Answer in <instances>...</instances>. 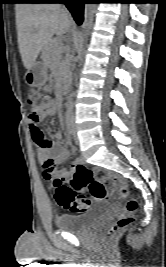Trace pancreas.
<instances>
[{
    "label": "pancreas",
    "mask_w": 166,
    "mask_h": 267,
    "mask_svg": "<svg viewBox=\"0 0 166 267\" xmlns=\"http://www.w3.org/2000/svg\"><path fill=\"white\" fill-rule=\"evenodd\" d=\"M67 47L62 41L55 38L52 39L43 49L42 59L50 67L57 70L60 77H65L68 71V62L62 58V54L66 52Z\"/></svg>",
    "instance_id": "pancreas-1"
}]
</instances>
